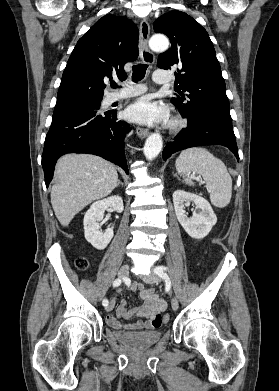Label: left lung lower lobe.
<instances>
[{
	"mask_svg": "<svg viewBox=\"0 0 279 391\" xmlns=\"http://www.w3.org/2000/svg\"><path fill=\"white\" fill-rule=\"evenodd\" d=\"M183 116L188 119V126L177 135L174 142L164 148V160L177 151L203 144L223 145L239 160L232 120L209 111H197L190 116Z\"/></svg>",
	"mask_w": 279,
	"mask_h": 391,
	"instance_id": "obj_1",
	"label": "left lung lower lobe"
}]
</instances>
